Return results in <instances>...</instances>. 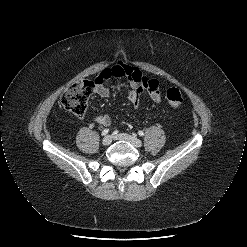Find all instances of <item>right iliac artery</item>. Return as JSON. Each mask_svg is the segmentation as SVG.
I'll return each mask as SVG.
<instances>
[{"mask_svg": "<svg viewBox=\"0 0 247 247\" xmlns=\"http://www.w3.org/2000/svg\"><path fill=\"white\" fill-rule=\"evenodd\" d=\"M109 133V129H104L101 133L102 136H105Z\"/></svg>", "mask_w": 247, "mask_h": 247, "instance_id": "82829eb1", "label": "right iliac artery"}]
</instances>
